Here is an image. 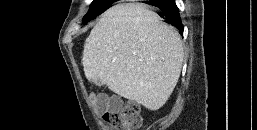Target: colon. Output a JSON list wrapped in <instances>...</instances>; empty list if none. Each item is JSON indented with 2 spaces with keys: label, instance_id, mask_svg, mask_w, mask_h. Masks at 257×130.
I'll return each instance as SVG.
<instances>
[{
  "label": "colon",
  "instance_id": "obj_1",
  "mask_svg": "<svg viewBox=\"0 0 257 130\" xmlns=\"http://www.w3.org/2000/svg\"><path fill=\"white\" fill-rule=\"evenodd\" d=\"M103 119L114 130H132L139 128L142 122L140 107L134 101L107 110Z\"/></svg>",
  "mask_w": 257,
  "mask_h": 130
}]
</instances>
